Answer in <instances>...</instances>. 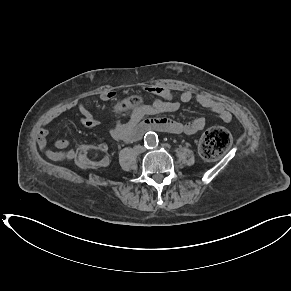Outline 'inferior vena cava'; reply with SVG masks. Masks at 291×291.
<instances>
[{"label":"inferior vena cava","instance_id":"obj_1","mask_svg":"<svg viewBox=\"0 0 291 291\" xmlns=\"http://www.w3.org/2000/svg\"><path fill=\"white\" fill-rule=\"evenodd\" d=\"M144 150H145V148L142 147V146L139 148V151H140V152H143Z\"/></svg>","mask_w":291,"mask_h":291}]
</instances>
